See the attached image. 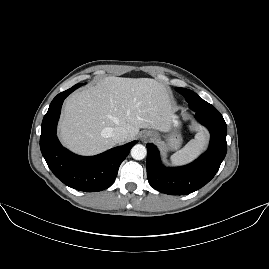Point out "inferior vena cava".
Returning <instances> with one entry per match:
<instances>
[{
    "label": "inferior vena cava",
    "mask_w": 269,
    "mask_h": 269,
    "mask_svg": "<svg viewBox=\"0 0 269 269\" xmlns=\"http://www.w3.org/2000/svg\"><path fill=\"white\" fill-rule=\"evenodd\" d=\"M127 135H128L127 129L123 127H115L112 130L111 137L116 143H121L127 139Z\"/></svg>",
    "instance_id": "inferior-vena-cava-1"
}]
</instances>
